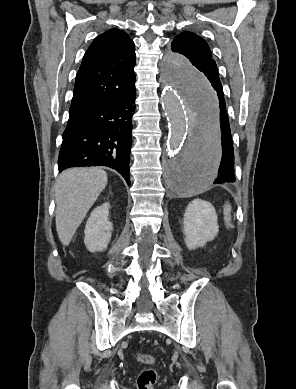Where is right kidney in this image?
Here are the masks:
<instances>
[{"label":"right kidney","mask_w":296,"mask_h":389,"mask_svg":"<svg viewBox=\"0 0 296 389\" xmlns=\"http://www.w3.org/2000/svg\"><path fill=\"white\" fill-rule=\"evenodd\" d=\"M109 210V203L97 206L86 222L84 244L90 252L104 251L111 240L113 224L108 220Z\"/></svg>","instance_id":"1"}]
</instances>
